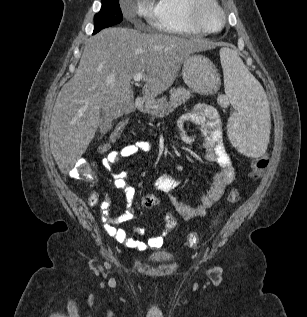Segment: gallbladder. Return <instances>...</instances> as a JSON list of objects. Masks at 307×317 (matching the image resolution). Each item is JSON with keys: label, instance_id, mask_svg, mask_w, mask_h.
I'll use <instances>...</instances> for the list:
<instances>
[{"label": "gallbladder", "instance_id": "obj_1", "mask_svg": "<svg viewBox=\"0 0 307 317\" xmlns=\"http://www.w3.org/2000/svg\"><path fill=\"white\" fill-rule=\"evenodd\" d=\"M100 133L105 134L112 126V119L107 115V113L104 110H101L100 112Z\"/></svg>", "mask_w": 307, "mask_h": 317}]
</instances>
